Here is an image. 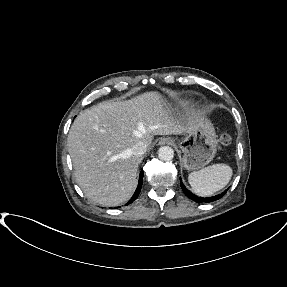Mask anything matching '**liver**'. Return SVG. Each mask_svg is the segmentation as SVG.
I'll list each match as a JSON object with an SVG mask.
<instances>
[{
	"mask_svg": "<svg viewBox=\"0 0 287 287\" xmlns=\"http://www.w3.org/2000/svg\"><path fill=\"white\" fill-rule=\"evenodd\" d=\"M202 118L177 120L157 91L125 101H105L82 111L67 138L76 181L85 196L103 206H117L134 193L139 141L150 147L154 135L189 133Z\"/></svg>",
	"mask_w": 287,
	"mask_h": 287,
	"instance_id": "obj_1",
	"label": "liver"
}]
</instances>
